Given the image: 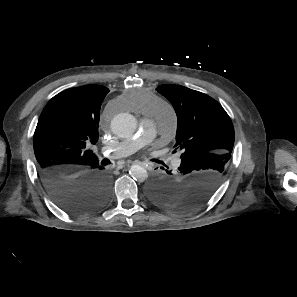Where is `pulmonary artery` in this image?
Returning <instances> with one entry per match:
<instances>
[{
	"label": "pulmonary artery",
	"mask_w": 297,
	"mask_h": 297,
	"mask_svg": "<svg viewBox=\"0 0 297 297\" xmlns=\"http://www.w3.org/2000/svg\"><path fill=\"white\" fill-rule=\"evenodd\" d=\"M175 119L172 107L162 106L155 117L143 122L140 129L133 136L114 146L104 147L103 150L116 157L132 154L149 143L158 132L170 129L174 125Z\"/></svg>",
	"instance_id": "pulmonary-artery-1"
}]
</instances>
